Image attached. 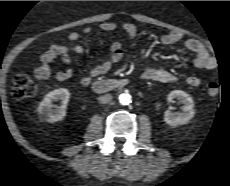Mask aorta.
I'll return each mask as SVG.
<instances>
[{
    "label": "aorta",
    "instance_id": "obj_1",
    "mask_svg": "<svg viewBox=\"0 0 230 186\" xmlns=\"http://www.w3.org/2000/svg\"><path fill=\"white\" fill-rule=\"evenodd\" d=\"M119 102L122 105H129L132 102L131 95L128 93H122L119 95Z\"/></svg>",
    "mask_w": 230,
    "mask_h": 186
}]
</instances>
